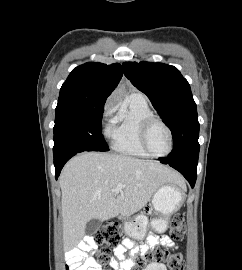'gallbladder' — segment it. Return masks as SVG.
<instances>
[{
    "label": "gallbladder",
    "mask_w": 242,
    "mask_h": 270,
    "mask_svg": "<svg viewBox=\"0 0 242 270\" xmlns=\"http://www.w3.org/2000/svg\"><path fill=\"white\" fill-rule=\"evenodd\" d=\"M101 222L98 219H91L90 221L87 222L86 224V233L93 235L98 231L100 228Z\"/></svg>",
    "instance_id": "bac80fb5"
}]
</instances>
